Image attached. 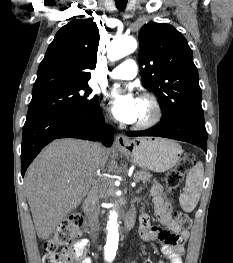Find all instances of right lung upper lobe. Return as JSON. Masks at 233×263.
Here are the masks:
<instances>
[{"mask_svg":"<svg viewBox=\"0 0 233 263\" xmlns=\"http://www.w3.org/2000/svg\"><path fill=\"white\" fill-rule=\"evenodd\" d=\"M99 30L92 19L74 20L62 27L39 65L33 95L88 84L85 69L96 67Z\"/></svg>","mask_w":233,"mask_h":263,"instance_id":"1","label":"right lung upper lobe"}]
</instances>
